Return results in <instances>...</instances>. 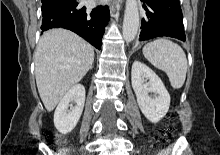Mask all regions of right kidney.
Wrapping results in <instances>:
<instances>
[{
  "label": "right kidney",
  "instance_id": "obj_1",
  "mask_svg": "<svg viewBox=\"0 0 220 155\" xmlns=\"http://www.w3.org/2000/svg\"><path fill=\"white\" fill-rule=\"evenodd\" d=\"M71 101H74L76 105L68 110ZM84 103L85 88L83 85L77 84L66 93L54 113V125L60 133L67 134L76 127L82 114Z\"/></svg>",
  "mask_w": 220,
  "mask_h": 155
}]
</instances>
